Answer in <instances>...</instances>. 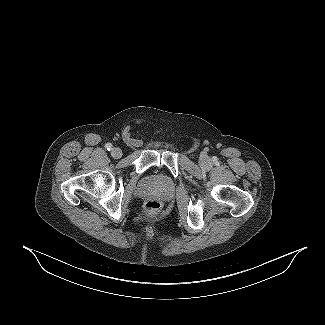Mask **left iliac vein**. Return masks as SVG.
I'll use <instances>...</instances> for the list:
<instances>
[{"mask_svg": "<svg viewBox=\"0 0 325 325\" xmlns=\"http://www.w3.org/2000/svg\"><path fill=\"white\" fill-rule=\"evenodd\" d=\"M200 165L203 168H207L208 166H210V159L207 156H203L200 159Z\"/></svg>", "mask_w": 325, "mask_h": 325, "instance_id": "4c4485c4", "label": "left iliac vein"}]
</instances>
